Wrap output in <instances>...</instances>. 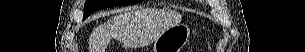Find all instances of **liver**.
Returning a JSON list of instances; mask_svg holds the SVG:
<instances>
[{
  "instance_id": "liver-1",
  "label": "liver",
  "mask_w": 305,
  "mask_h": 52,
  "mask_svg": "<svg viewBox=\"0 0 305 52\" xmlns=\"http://www.w3.org/2000/svg\"><path fill=\"white\" fill-rule=\"evenodd\" d=\"M147 16L141 11H128L113 16L106 22L93 29L89 37V52H105L112 38L118 40L142 38ZM181 16L169 11L161 18L156 25L157 31L152 37L154 41L164 31L178 25Z\"/></svg>"
}]
</instances>
